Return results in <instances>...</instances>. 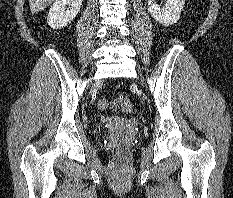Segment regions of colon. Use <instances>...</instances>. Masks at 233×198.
<instances>
[{"instance_id": "1", "label": "colon", "mask_w": 233, "mask_h": 198, "mask_svg": "<svg viewBox=\"0 0 233 198\" xmlns=\"http://www.w3.org/2000/svg\"><path fill=\"white\" fill-rule=\"evenodd\" d=\"M98 107L101 110L113 109V110H118L123 113H131L133 111V106L130 100L126 97H121L113 101H108L106 99H100L98 101ZM117 155L119 158L122 157L121 149L117 151Z\"/></svg>"}]
</instances>
